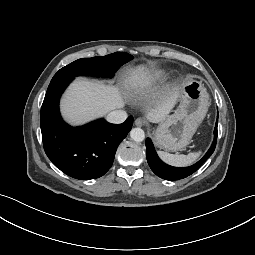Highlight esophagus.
Here are the masks:
<instances>
[{"label":"esophagus","instance_id":"34e87169","mask_svg":"<svg viewBox=\"0 0 255 255\" xmlns=\"http://www.w3.org/2000/svg\"><path fill=\"white\" fill-rule=\"evenodd\" d=\"M135 125L138 126V127H142V126L145 125V122H144L143 119L137 118V119L135 120Z\"/></svg>","mask_w":255,"mask_h":255}]
</instances>
